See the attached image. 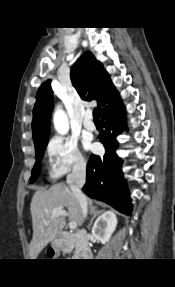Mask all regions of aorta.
I'll return each instance as SVG.
<instances>
[{"label":"aorta","instance_id":"1","mask_svg":"<svg viewBox=\"0 0 175 287\" xmlns=\"http://www.w3.org/2000/svg\"><path fill=\"white\" fill-rule=\"evenodd\" d=\"M54 127L59 134H66L69 130L68 117L61 107H57L53 117Z\"/></svg>","mask_w":175,"mask_h":287}]
</instances>
